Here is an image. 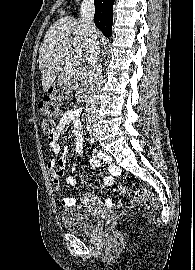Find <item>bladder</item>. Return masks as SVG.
Wrapping results in <instances>:
<instances>
[{
	"label": "bladder",
	"mask_w": 195,
	"mask_h": 270,
	"mask_svg": "<svg viewBox=\"0 0 195 270\" xmlns=\"http://www.w3.org/2000/svg\"><path fill=\"white\" fill-rule=\"evenodd\" d=\"M98 211L93 207L65 209L61 213L63 227L74 234H88L97 221Z\"/></svg>",
	"instance_id": "1"
}]
</instances>
